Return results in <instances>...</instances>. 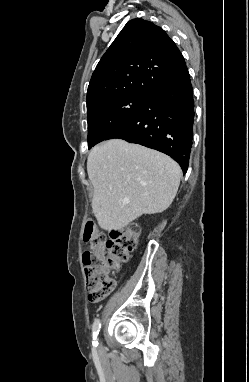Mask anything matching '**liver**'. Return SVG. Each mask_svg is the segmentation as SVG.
<instances>
[{"mask_svg": "<svg viewBox=\"0 0 249 382\" xmlns=\"http://www.w3.org/2000/svg\"><path fill=\"white\" fill-rule=\"evenodd\" d=\"M93 213L101 229H123L143 214L165 211L176 196L180 166L169 156L122 139L96 145L87 160Z\"/></svg>", "mask_w": 249, "mask_h": 382, "instance_id": "6515ba94", "label": "liver"}]
</instances>
